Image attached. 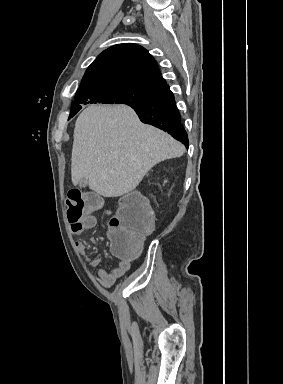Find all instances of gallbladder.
Wrapping results in <instances>:
<instances>
[{"label": "gallbladder", "mask_w": 283, "mask_h": 384, "mask_svg": "<svg viewBox=\"0 0 283 384\" xmlns=\"http://www.w3.org/2000/svg\"><path fill=\"white\" fill-rule=\"evenodd\" d=\"M86 186H87L86 180H81V182H79V188H86Z\"/></svg>", "instance_id": "gallbladder-1"}]
</instances>
